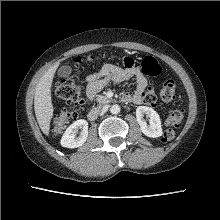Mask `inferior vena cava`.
I'll use <instances>...</instances> for the list:
<instances>
[{"instance_id": "1", "label": "inferior vena cava", "mask_w": 220, "mask_h": 220, "mask_svg": "<svg viewBox=\"0 0 220 220\" xmlns=\"http://www.w3.org/2000/svg\"><path fill=\"white\" fill-rule=\"evenodd\" d=\"M106 110H107L106 107H103V108L97 107V108L92 109V113L103 115L106 112Z\"/></svg>"}]
</instances>
